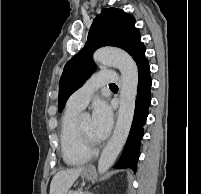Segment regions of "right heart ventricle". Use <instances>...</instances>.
I'll return each mask as SVG.
<instances>
[{
	"mask_svg": "<svg viewBox=\"0 0 201 194\" xmlns=\"http://www.w3.org/2000/svg\"><path fill=\"white\" fill-rule=\"evenodd\" d=\"M80 109L66 106L61 118L60 146L63 159L68 165H80L89 160L91 153L81 144L77 119Z\"/></svg>",
	"mask_w": 201,
	"mask_h": 194,
	"instance_id": "1",
	"label": "right heart ventricle"
}]
</instances>
